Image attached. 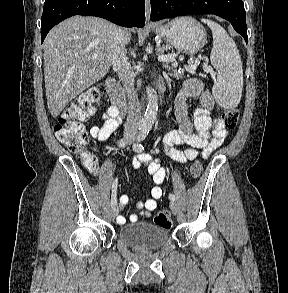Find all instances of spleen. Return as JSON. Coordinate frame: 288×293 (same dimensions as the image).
I'll use <instances>...</instances> for the list:
<instances>
[{"label": "spleen", "instance_id": "3e777b00", "mask_svg": "<svg viewBox=\"0 0 288 293\" xmlns=\"http://www.w3.org/2000/svg\"><path fill=\"white\" fill-rule=\"evenodd\" d=\"M213 35L210 61L217 70L212 93L217 103L226 109L236 107L242 96L243 68L236 43L223 27L210 19H201Z\"/></svg>", "mask_w": 288, "mask_h": 293}]
</instances>
